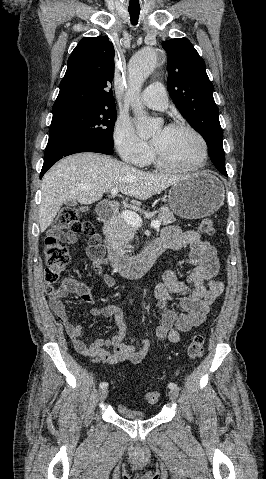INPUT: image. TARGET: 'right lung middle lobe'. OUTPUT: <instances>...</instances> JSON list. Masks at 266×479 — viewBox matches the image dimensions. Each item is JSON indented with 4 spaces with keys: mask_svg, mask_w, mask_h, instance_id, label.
Instances as JSON below:
<instances>
[{
    "mask_svg": "<svg viewBox=\"0 0 266 479\" xmlns=\"http://www.w3.org/2000/svg\"><path fill=\"white\" fill-rule=\"evenodd\" d=\"M116 108L71 109L53 113L49 135L62 134L114 147Z\"/></svg>",
    "mask_w": 266,
    "mask_h": 479,
    "instance_id": "obj_1",
    "label": "right lung middle lobe"
}]
</instances>
